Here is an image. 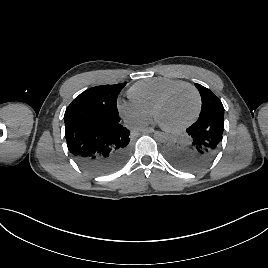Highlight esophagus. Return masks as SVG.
I'll use <instances>...</instances> for the list:
<instances>
[{"mask_svg": "<svg viewBox=\"0 0 268 268\" xmlns=\"http://www.w3.org/2000/svg\"><path fill=\"white\" fill-rule=\"evenodd\" d=\"M142 133H154L156 130L154 128L148 127V128H143L141 129Z\"/></svg>", "mask_w": 268, "mask_h": 268, "instance_id": "obj_1", "label": "esophagus"}]
</instances>
